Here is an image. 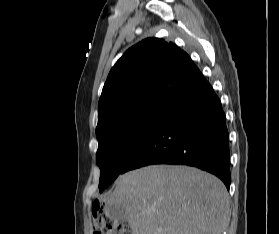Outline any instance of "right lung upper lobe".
Instances as JSON below:
<instances>
[{"mask_svg":"<svg viewBox=\"0 0 279 234\" xmlns=\"http://www.w3.org/2000/svg\"><path fill=\"white\" fill-rule=\"evenodd\" d=\"M200 70L174 43L147 38L128 49L111 69L98 105V126L131 110L168 107Z\"/></svg>","mask_w":279,"mask_h":234,"instance_id":"1","label":"right lung upper lobe"}]
</instances>
